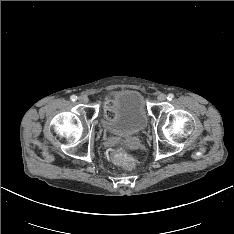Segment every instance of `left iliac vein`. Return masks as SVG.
<instances>
[{"mask_svg":"<svg viewBox=\"0 0 234 234\" xmlns=\"http://www.w3.org/2000/svg\"><path fill=\"white\" fill-rule=\"evenodd\" d=\"M166 95L165 94H163V93H160L159 95H158V97H157V100L159 101V102H163V101H165L166 100Z\"/></svg>","mask_w":234,"mask_h":234,"instance_id":"obj_1","label":"left iliac vein"}]
</instances>
